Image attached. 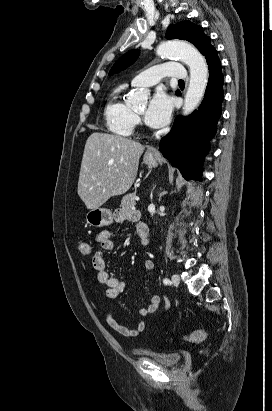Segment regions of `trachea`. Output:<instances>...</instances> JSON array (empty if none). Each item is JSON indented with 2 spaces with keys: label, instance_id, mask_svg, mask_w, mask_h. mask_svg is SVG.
I'll use <instances>...</instances> for the list:
<instances>
[{
  "label": "trachea",
  "instance_id": "3493384b",
  "mask_svg": "<svg viewBox=\"0 0 272 411\" xmlns=\"http://www.w3.org/2000/svg\"><path fill=\"white\" fill-rule=\"evenodd\" d=\"M178 83L184 84V81H183V80H179Z\"/></svg>",
  "mask_w": 272,
  "mask_h": 411
}]
</instances>
